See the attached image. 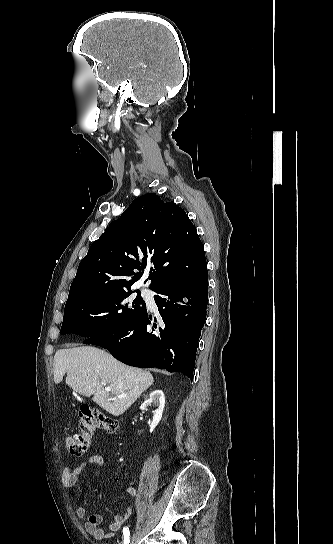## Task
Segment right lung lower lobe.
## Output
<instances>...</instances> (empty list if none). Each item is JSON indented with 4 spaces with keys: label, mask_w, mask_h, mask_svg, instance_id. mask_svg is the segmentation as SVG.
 <instances>
[{
    "label": "right lung lower lobe",
    "mask_w": 333,
    "mask_h": 544,
    "mask_svg": "<svg viewBox=\"0 0 333 544\" xmlns=\"http://www.w3.org/2000/svg\"><path fill=\"white\" fill-rule=\"evenodd\" d=\"M160 316L147 310L129 325L90 337L85 344L107 349L119 361L135 367L182 372L190 379L198 340L206 318L207 267L199 274L154 290Z\"/></svg>",
    "instance_id": "98d812e1"
}]
</instances>
